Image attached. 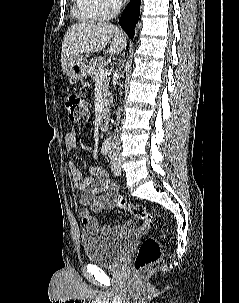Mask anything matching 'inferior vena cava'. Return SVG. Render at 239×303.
<instances>
[{
  "mask_svg": "<svg viewBox=\"0 0 239 303\" xmlns=\"http://www.w3.org/2000/svg\"><path fill=\"white\" fill-rule=\"evenodd\" d=\"M120 118V113L118 112L117 113V120ZM118 135H116V133L115 134H113V140H112V142H111V148H112V150H114V149H117L118 148Z\"/></svg>",
  "mask_w": 239,
  "mask_h": 303,
  "instance_id": "inferior-vena-cava-1",
  "label": "inferior vena cava"
}]
</instances>
